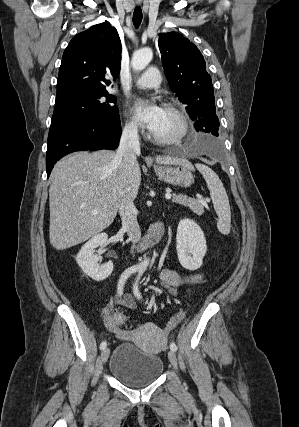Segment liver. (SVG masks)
Segmentation results:
<instances>
[{"instance_id": "liver-1", "label": "liver", "mask_w": 299, "mask_h": 427, "mask_svg": "<svg viewBox=\"0 0 299 427\" xmlns=\"http://www.w3.org/2000/svg\"><path fill=\"white\" fill-rule=\"evenodd\" d=\"M115 156L112 150L81 151L55 164L49 188V239L55 249L80 244L112 224L125 192L136 198L141 182L138 161L127 175L123 160ZM155 160L194 169L180 158L157 156Z\"/></svg>"}]
</instances>
